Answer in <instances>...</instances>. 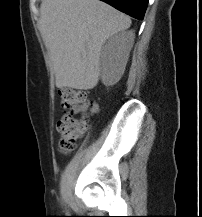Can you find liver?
Returning a JSON list of instances; mask_svg holds the SVG:
<instances>
[{"label":"liver","instance_id":"1","mask_svg":"<svg viewBox=\"0 0 202 217\" xmlns=\"http://www.w3.org/2000/svg\"><path fill=\"white\" fill-rule=\"evenodd\" d=\"M130 25L129 16L100 0H43L39 31L50 53L56 87L93 89L102 46Z\"/></svg>","mask_w":202,"mask_h":217}]
</instances>
